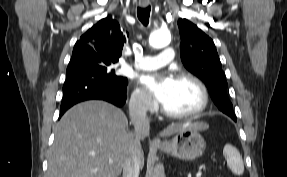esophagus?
Here are the masks:
<instances>
[{"mask_svg":"<svg viewBox=\"0 0 287 177\" xmlns=\"http://www.w3.org/2000/svg\"><path fill=\"white\" fill-rule=\"evenodd\" d=\"M150 4L149 0H139V6L142 8L148 7ZM158 145H163V143L160 140H157Z\"/></svg>","mask_w":287,"mask_h":177,"instance_id":"34e87169","label":"esophagus"}]
</instances>
